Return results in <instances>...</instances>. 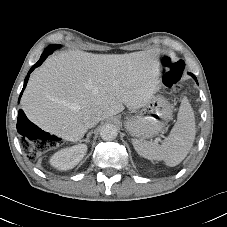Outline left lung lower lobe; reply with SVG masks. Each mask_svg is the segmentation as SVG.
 <instances>
[{
    "label": "left lung lower lobe",
    "mask_w": 227,
    "mask_h": 227,
    "mask_svg": "<svg viewBox=\"0 0 227 227\" xmlns=\"http://www.w3.org/2000/svg\"><path fill=\"white\" fill-rule=\"evenodd\" d=\"M190 75L197 81V79H196L194 74L190 73Z\"/></svg>",
    "instance_id": "1"
}]
</instances>
